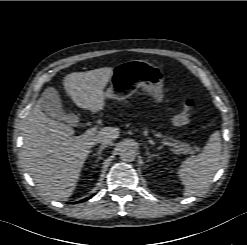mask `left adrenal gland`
<instances>
[{"instance_id":"1","label":"left adrenal gland","mask_w":247,"mask_h":245,"mask_svg":"<svg viewBox=\"0 0 247 245\" xmlns=\"http://www.w3.org/2000/svg\"><path fill=\"white\" fill-rule=\"evenodd\" d=\"M145 148H146L147 159H148V162H149V161H151V159H152L153 157H155V154H150L149 148H148L147 146H145Z\"/></svg>"}]
</instances>
